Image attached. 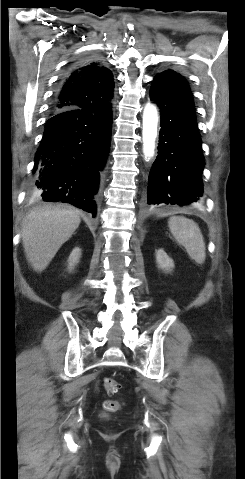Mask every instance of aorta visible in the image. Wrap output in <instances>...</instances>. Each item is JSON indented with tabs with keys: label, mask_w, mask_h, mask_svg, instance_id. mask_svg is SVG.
<instances>
[{
	"label": "aorta",
	"mask_w": 245,
	"mask_h": 479,
	"mask_svg": "<svg viewBox=\"0 0 245 479\" xmlns=\"http://www.w3.org/2000/svg\"><path fill=\"white\" fill-rule=\"evenodd\" d=\"M158 113L154 105L148 103L143 112V153L146 159L154 156L157 137Z\"/></svg>",
	"instance_id": "762f6f07"
}]
</instances>
